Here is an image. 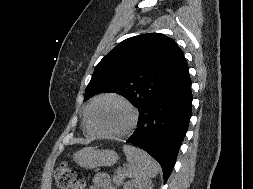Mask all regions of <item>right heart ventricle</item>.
<instances>
[{
    "mask_svg": "<svg viewBox=\"0 0 253 189\" xmlns=\"http://www.w3.org/2000/svg\"><path fill=\"white\" fill-rule=\"evenodd\" d=\"M88 107H89V106L86 107L85 112H84V120H83V123H84V127H85L86 132H87L89 135H92L93 132L90 130V128H89V126H88V124H87V120H86V113H87Z\"/></svg>",
    "mask_w": 253,
    "mask_h": 189,
    "instance_id": "right-heart-ventricle-1",
    "label": "right heart ventricle"
}]
</instances>
